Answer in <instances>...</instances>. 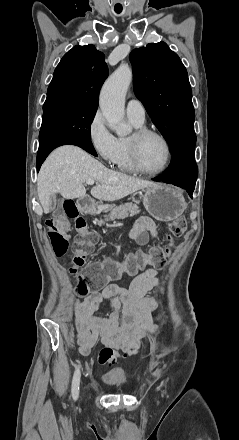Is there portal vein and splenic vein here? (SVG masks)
Returning a JSON list of instances; mask_svg holds the SVG:
<instances>
[{
  "mask_svg": "<svg viewBox=\"0 0 239 440\" xmlns=\"http://www.w3.org/2000/svg\"><path fill=\"white\" fill-rule=\"evenodd\" d=\"M86 184H88V186H93L94 180H87Z\"/></svg>",
  "mask_w": 239,
  "mask_h": 440,
  "instance_id": "18ae733b",
  "label": "portal vein and splenic vein"
}]
</instances>
